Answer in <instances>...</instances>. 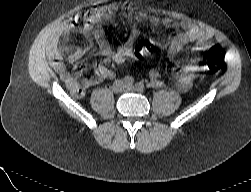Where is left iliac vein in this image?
<instances>
[{
	"label": "left iliac vein",
	"mask_w": 251,
	"mask_h": 192,
	"mask_svg": "<svg viewBox=\"0 0 251 192\" xmlns=\"http://www.w3.org/2000/svg\"><path fill=\"white\" fill-rule=\"evenodd\" d=\"M127 89H128V90H135L136 88L133 87V86H127Z\"/></svg>",
	"instance_id": "1"
}]
</instances>
